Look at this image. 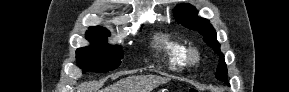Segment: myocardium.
<instances>
[{
	"instance_id": "f54148a6",
	"label": "myocardium",
	"mask_w": 289,
	"mask_h": 92,
	"mask_svg": "<svg viewBox=\"0 0 289 92\" xmlns=\"http://www.w3.org/2000/svg\"><path fill=\"white\" fill-rule=\"evenodd\" d=\"M199 59H200L199 51L194 47L189 48L186 55L187 63L194 65L199 61Z\"/></svg>"
}]
</instances>
